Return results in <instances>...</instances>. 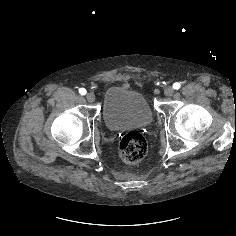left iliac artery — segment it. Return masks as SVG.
I'll return each mask as SVG.
<instances>
[{
	"label": "left iliac artery",
	"instance_id": "obj_1",
	"mask_svg": "<svg viewBox=\"0 0 236 236\" xmlns=\"http://www.w3.org/2000/svg\"><path fill=\"white\" fill-rule=\"evenodd\" d=\"M180 87H181V84L179 82H175L173 84V88L176 89V90H178Z\"/></svg>",
	"mask_w": 236,
	"mask_h": 236
}]
</instances>
